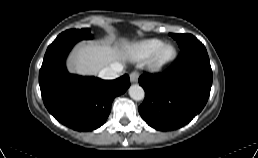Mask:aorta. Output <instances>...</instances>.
<instances>
[{"label":"aorta","instance_id":"aorta-1","mask_svg":"<svg viewBox=\"0 0 258 158\" xmlns=\"http://www.w3.org/2000/svg\"><path fill=\"white\" fill-rule=\"evenodd\" d=\"M129 96L135 101H141L144 99L145 92L139 85H131L129 88Z\"/></svg>","mask_w":258,"mask_h":158}]
</instances>
